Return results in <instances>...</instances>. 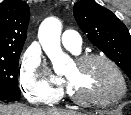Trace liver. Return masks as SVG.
<instances>
[{
    "label": "liver",
    "mask_w": 131,
    "mask_h": 115,
    "mask_svg": "<svg viewBox=\"0 0 131 115\" xmlns=\"http://www.w3.org/2000/svg\"><path fill=\"white\" fill-rule=\"evenodd\" d=\"M0 115H80L78 112L58 109L30 108L23 104L3 105L0 104Z\"/></svg>",
    "instance_id": "liver-1"
}]
</instances>
